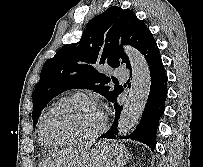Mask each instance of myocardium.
I'll return each mask as SVG.
<instances>
[{
    "label": "myocardium",
    "mask_w": 203,
    "mask_h": 167,
    "mask_svg": "<svg viewBox=\"0 0 203 167\" xmlns=\"http://www.w3.org/2000/svg\"><path fill=\"white\" fill-rule=\"evenodd\" d=\"M76 101H83L86 102L88 104H90L92 107H94L101 115V124L98 127V129L96 131H94L93 133H91L88 136L82 137V138H76V139H68V140H62V139H56L51 137L46 130V122L48 120V118L55 113L56 111H58L59 109H61L62 107H64L67 104L76 102ZM107 124V119L105 114L98 108V106L96 105V103L86 94L83 93H77L74 94L72 96L63 98L62 100H60L58 103H56L53 107H51L43 116L41 122H40V131L41 134L43 136V138L53 144L56 145H74V144H83V143H87V142H91L95 139H97L104 131L105 127Z\"/></svg>",
    "instance_id": "myocardium-1"
}]
</instances>
